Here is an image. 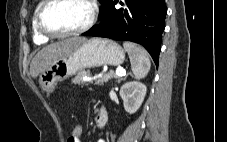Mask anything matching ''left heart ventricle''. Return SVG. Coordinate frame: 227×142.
Returning a JSON list of instances; mask_svg holds the SVG:
<instances>
[{"label": "left heart ventricle", "mask_w": 227, "mask_h": 142, "mask_svg": "<svg viewBox=\"0 0 227 142\" xmlns=\"http://www.w3.org/2000/svg\"><path fill=\"white\" fill-rule=\"evenodd\" d=\"M90 7L85 0H58L44 14L46 27L55 32H67L85 25Z\"/></svg>", "instance_id": "1"}]
</instances>
